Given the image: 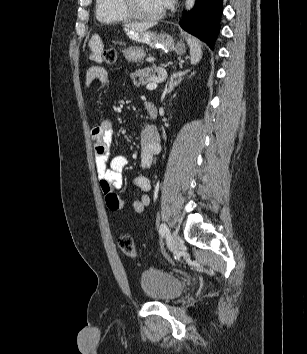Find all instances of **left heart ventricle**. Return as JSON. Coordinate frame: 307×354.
I'll list each match as a JSON object with an SVG mask.
<instances>
[{
	"label": "left heart ventricle",
	"instance_id": "left-heart-ventricle-1",
	"mask_svg": "<svg viewBox=\"0 0 307 354\" xmlns=\"http://www.w3.org/2000/svg\"><path fill=\"white\" fill-rule=\"evenodd\" d=\"M135 5L144 14H155L162 10L159 0H135Z\"/></svg>",
	"mask_w": 307,
	"mask_h": 354
}]
</instances>
